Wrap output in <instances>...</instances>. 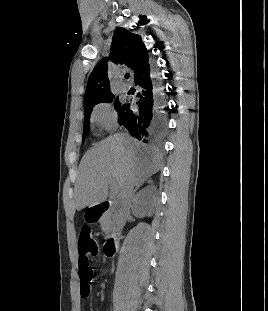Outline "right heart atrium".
I'll use <instances>...</instances> for the list:
<instances>
[{
    "mask_svg": "<svg viewBox=\"0 0 268 311\" xmlns=\"http://www.w3.org/2000/svg\"><path fill=\"white\" fill-rule=\"evenodd\" d=\"M92 118L105 131L113 130L116 125L115 113L112 107L106 103L100 104L95 108Z\"/></svg>",
    "mask_w": 268,
    "mask_h": 311,
    "instance_id": "right-heart-atrium-1",
    "label": "right heart atrium"
}]
</instances>
